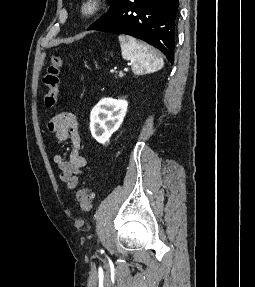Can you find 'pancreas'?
I'll return each mask as SVG.
<instances>
[{"mask_svg": "<svg viewBox=\"0 0 255 287\" xmlns=\"http://www.w3.org/2000/svg\"><path fill=\"white\" fill-rule=\"evenodd\" d=\"M124 74L122 72H119V78H123Z\"/></svg>", "mask_w": 255, "mask_h": 287, "instance_id": "cf45deb5", "label": "pancreas"}]
</instances>
